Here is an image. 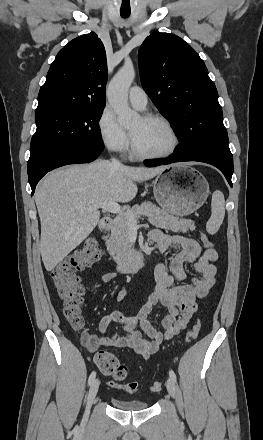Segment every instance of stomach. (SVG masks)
Listing matches in <instances>:
<instances>
[{"label":"stomach","mask_w":263,"mask_h":440,"mask_svg":"<svg viewBox=\"0 0 263 440\" xmlns=\"http://www.w3.org/2000/svg\"><path fill=\"white\" fill-rule=\"evenodd\" d=\"M153 192L160 207L175 216H187L198 210L209 195L205 177L189 166H173L153 182Z\"/></svg>","instance_id":"obj_1"}]
</instances>
